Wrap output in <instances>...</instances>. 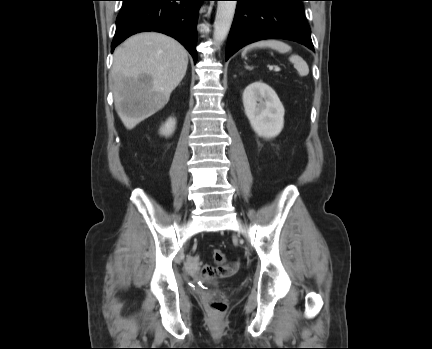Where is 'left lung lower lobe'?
<instances>
[{"label": "left lung lower lobe", "instance_id": "0a47b994", "mask_svg": "<svg viewBox=\"0 0 432 349\" xmlns=\"http://www.w3.org/2000/svg\"><path fill=\"white\" fill-rule=\"evenodd\" d=\"M238 1L228 37L225 59L243 46L262 39L296 41L314 50L307 24L304 0Z\"/></svg>", "mask_w": 432, "mask_h": 349}]
</instances>
